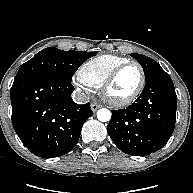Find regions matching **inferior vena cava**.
Listing matches in <instances>:
<instances>
[{
  "mask_svg": "<svg viewBox=\"0 0 193 193\" xmlns=\"http://www.w3.org/2000/svg\"><path fill=\"white\" fill-rule=\"evenodd\" d=\"M72 98L76 103H79V104H84V103H87L89 101L88 93L84 92L81 89L74 91Z\"/></svg>",
  "mask_w": 193,
  "mask_h": 193,
  "instance_id": "inferior-vena-cava-1",
  "label": "inferior vena cava"
}]
</instances>
